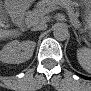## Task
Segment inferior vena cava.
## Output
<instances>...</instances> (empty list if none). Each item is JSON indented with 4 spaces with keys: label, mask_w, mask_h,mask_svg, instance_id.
<instances>
[{
    "label": "inferior vena cava",
    "mask_w": 91,
    "mask_h": 91,
    "mask_svg": "<svg viewBox=\"0 0 91 91\" xmlns=\"http://www.w3.org/2000/svg\"><path fill=\"white\" fill-rule=\"evenodd\" d=\"M33 29L35 31L46 30L47 29V25L44 22L35 23Z\"/></svg>",
    "instance_id": "602c4592"
}]
</instances>
